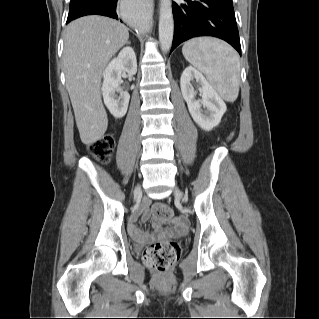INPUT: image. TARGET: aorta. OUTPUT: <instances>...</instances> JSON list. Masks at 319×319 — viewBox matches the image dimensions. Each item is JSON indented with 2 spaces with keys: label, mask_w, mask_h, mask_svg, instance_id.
<instances>
[{
  "label": "aorta",
  "mask_w": 319,
  "mask_h": 319,
  "mask_svg": "<svg viewBox=\"0 0 319 319\" xmlns=\"http://www.w3.org/2000/svg\"><path fill=\"white\" fill-rule=\"evenodd\" d=\"M159 41L161 50L166 53L172 45L174 21L171 0H160Z\"/></svg>",
  "instance_id": "aorta-1"
}]
</instances>
